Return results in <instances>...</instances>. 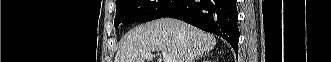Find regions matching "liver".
<instances>
[{
    "mask_svg": "<svg viewBox=\"0 0 331 62\" xmlns=\"http://www.w3.org/2000/svg\"><path fill=\"white\" fill-rule=\"evenodd\" d=\"M216 43L212 34L180 20L162 18L133 28L114 62H144L143 56L154 51L174 55L175 62H193L194 58L212 50Z\"/></svg>",
    "mask_w": 331,
    "mask_h": 62,
    "instance_id": "1",
    "label": "liver"
}]
</instances>
